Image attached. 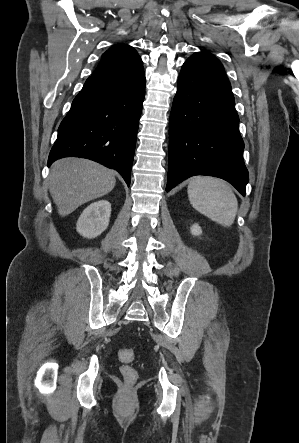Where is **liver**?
I'll list each match as a JSON object with an SVG mask.
<instances>
[{
	"mask_svg": "<svg viewBox=\"0 0 299 443\" xmlns=\"http://www.w3.org/2000/svg\"><path fill=\"white\" fill-rule=\"evenodd\" d=\"M114 172L83 158L68 157L51 166L49 191L60 216L108 194L115 187Z\"/></svg>",
	"mask_w": 299,
	"mask_h": 443,
	"instance_id": "liver-1",
	"label": "liver"
}]
</instances>
